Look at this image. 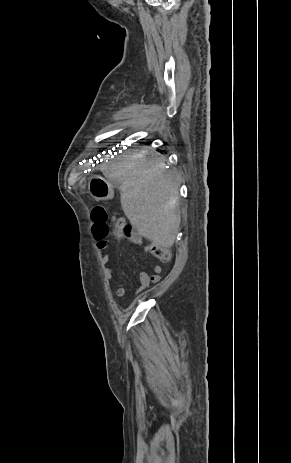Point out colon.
<instances>
[{
    "label": "colon",
    "mask_w": 291,
    "mask_h": 463,
    "mask_svg": "<svg viewBox=\"0 0 291 463\" xmlns=\"http://www.w3.org/2000/svg\"><path fill=\"white\" fill-rule=\"evenodd\" d=\"M92 227L91 232L94 239L97 241V247L103 249L107 245V238L111 233L119 239H129L133 232L131 225L125 220L114 218L109 221V213L105 206L95 205L91 212ZM151 254L161 262H167L170 259V252L167 248L158 245L150 246Z\"/></svg>",
    "instance_id": "obj_1"
}]
</instances>
